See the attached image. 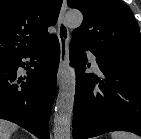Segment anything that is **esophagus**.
<instances>
[{
    "mask_svg": "<svg viewBox=\"0 0 141 139\" xmlns=\"http://www.w3.org/2000/svg\"><path fill=\"white\" fill-rule=\"evenodd\" d=\"M67 10V1L63 0L62 7L57 22V36L60 44V62L57 72V85H60L64 74L69 65V39L70 33L65 22V13Z\"/></svg>",
    "mask_w": 141,
    "mask_h": 139,
    "instance_id": "1",
    "label": "esophagus"
}]
</instances>
